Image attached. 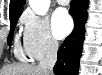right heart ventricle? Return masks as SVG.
<instances>
[{
	"mask_svg": "<svg viewBox=\"0 0 102 75\" xmlns=\"http://www.w3.org/2000/svg\"><path fill=\"white\" fill-rule=\"evenodd\" d=\"M15 55L18 59H21V60H27L29 56L26 50L24 49V47L20 46L18 42L16 43V46H15Z\"/></svg>",
	"mask_w": 102,
	"mask_h": 75,
	"instance_id": "e07e8e85",
	"label": "right heart ventricle"
}]
</instances>
